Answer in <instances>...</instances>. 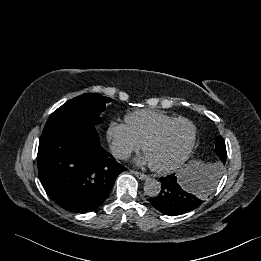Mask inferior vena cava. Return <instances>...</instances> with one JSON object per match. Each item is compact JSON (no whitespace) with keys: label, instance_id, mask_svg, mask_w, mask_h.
Returning <instances> with one entry per match:
<instances>
[{"label":"inferior vena cava","instance_id":"602c4592","mask_svg":"<svg viewBox=\"0 0 261 261\" xmlns=\"http://www.w3.org/2000/svg\"><path fill=\"white\" fill-rule=\"evenodd\" d=\"M130 150L123 147H113L112 154L119 159H127L130 156Z\"/></svg>","mask_w":261,"mask_h":261}]
</instances>
